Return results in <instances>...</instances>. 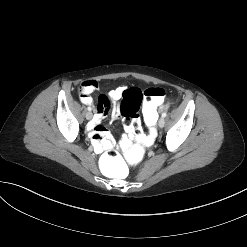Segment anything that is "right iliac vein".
<instances>
[{
    "label": "right iliac vein",
    "mask_w": 247,
    "mask_h": 247,
    "mask_svg": "<svg viewBox=\"0 0 247 247\" xmlns=\"http://www.w3.org/2000/svg\"><path fill=\"white\" fill-rule=\"evenodd\" d=\"M92 117H93V114H92L91 112H87V113H86V119H87V120H91Z\"/></svg>",
    "instance_id": "1"
}]
</instances>
